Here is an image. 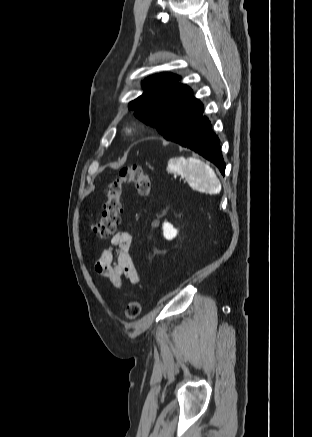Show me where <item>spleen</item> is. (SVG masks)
Wrapping results in <instances>:
<instances>
[{"instance_id": "obj_1", "label": "spleen", "mask_w": 312, "mask_h": 437, "mask_svg": "<svg viewBox=\"0 0 312 437\" xmlns=\"http://www.w3.org/2000/svg\"><path fill=\"white\" fill-rule=\"evenodd\" d=\"M168 170L184 175L193 187L206 193L217 194L221 183L214 170L197 158H172L168 162Z\"/></svg>"}]
</instances>
